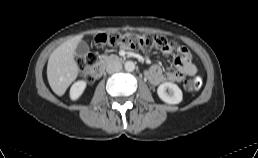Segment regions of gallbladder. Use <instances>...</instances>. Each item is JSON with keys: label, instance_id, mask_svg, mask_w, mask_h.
Wrapping results in <instances>:
<instances>
[{"label": "gallbladder", "instance_id": "obj_1", "mask_svg": "<svg viewBox=\"0 0 258 158\" xmlns=\"http://www.w3.org/2000/svg\"><path fill=\"white\" fill-rule=\"evenodd\" d=\"M89 52V46L85 41H80L75 49V54L80 57H86Z\"/></svg>", "mask_w": 258, "mask_h": 158}]
</instances>
